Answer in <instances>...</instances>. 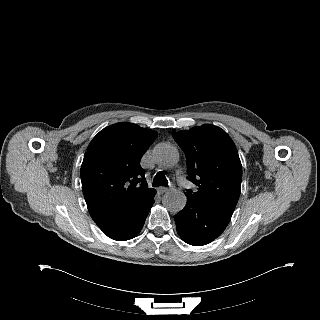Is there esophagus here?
Returning <instances> with one entry per match:
<instances>
[{
    "instance_id": "1",
    "label": "esophagus",
    "mask_w": 320,
    "mask_h": 320,
    "mask_svg": "<svg viewBox=\"0 0 320 320\" xmlns=\"http://www.w3.org/2000/svg\"><path fill=\"white\" fill-rule=\"evenodd\" d=\"M170 189L168 188V187H160L159 188V191L161 192V193H166V192H168Z\"/></svg>"
}]
</instances>
